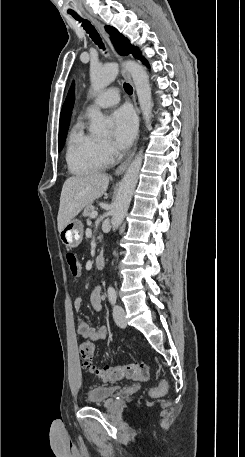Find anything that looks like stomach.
I'll list each match as a JSON object with an SVG mask.
<instances>
[{"instance_id": "obj_1", "label": "stomach", "mask_w": 245, "mask_h": 457, "mask_svg": "<svg viewBox=\"0 0 245 457\" xmlns=\"http://www.w3.org/2000/svg\"><path fill=\"white\" fill-rule=\"evenodd\" d=\"M60 239L66 249H75L83 239V224L79 218H72L65 224L60 233Z\"/></svg>"}]
</instances>
